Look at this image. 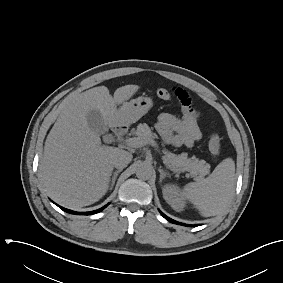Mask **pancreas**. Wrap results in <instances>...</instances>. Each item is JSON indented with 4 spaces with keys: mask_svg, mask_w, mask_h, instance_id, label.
Here are the masks:
<instances>
[{
    "mask_svg": "<svg viewBox=\"0 0 283 283\" xmlns=\"http://www.w3.org/2000/svg\"><path fill=\"white\" fill-rule=\"evenodd\" d=\"M132 134L140 140H152L157 137L145 123L139 124L137 129L132 131ZM164 154L163 161L166 165L174 170L187 171L195 179L203 178L210 172V165L205 160H199L196 157L188 158L187 153L176 155L164 151Z\"/></svg>",
    "mask_w": 283,
    "mask_h": 283,
    "instance_id": "1",
    "label": "pancreas"
}]
</instances>
